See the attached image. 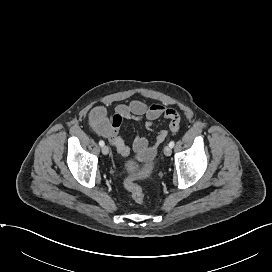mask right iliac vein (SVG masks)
I'll return each mask as SVG.
<instances>
[{
    "label": "right iliac vein",
    "instance_id": "right-iliac-vein-1",
    "mask_svg": "<svg viewBox=\"0 0 272 272\" xmlns=\"http://www.w3.org/2000/svg\"><path fill=\"white\" fill-rule=\"evenodd\" d=\"M102 153H103L104 155H107V154L109 153V147L106 146V145H104V146L102 147Z\"/></svg>",
    "mask_w": 272,
    "mask_h": 272
}]
</instances>
